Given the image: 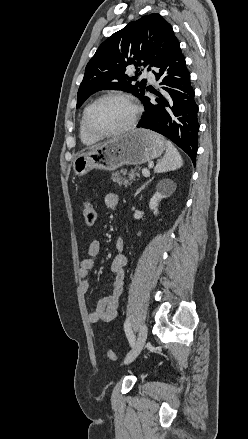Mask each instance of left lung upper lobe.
Returning <instances> with one entry per match:
<instances>
[{
  "label": "left lung upper lobe",
  "mask_w": 248,
  "mask_h": 439,
  "mask_svg": "<svg viewBox=\"0 0 248 439\" xmlns=\"http://www.w3.org/2000/svg\"><path fill=\"white\" fill-rule=\"evenodd\" d=\"M178 41L171 25L159 14L143 16L106 39L86 66L78 90L77 108L93 93L114 89L143 97L146 80L132 84L136 77L126 74V67L134 65L156 67L171 46Z\"/></svg>",
  "instance_id": "1"
}]
</instances>
